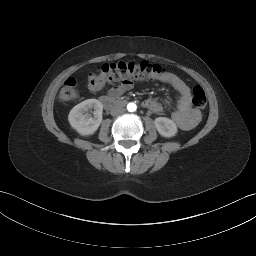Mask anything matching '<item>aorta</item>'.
<instances>
[{
	"label": "aorta",
	"mask_w": 256,
	"mask_h": 256,
	"mask_svg": "<svg viewBox=\"0 0 256 256\" xmlns=\"http://www.w3.org/2000/svg\"><path fill=\"white\" fill-rule=\"evenodd\" d=\"M136 109H137V105L135 103H133V102L128 103L127 110L129 112H135Z\"/></svg>",
	"instance_id": "aorta-1"
}]
</instances>
